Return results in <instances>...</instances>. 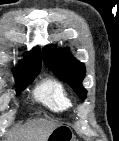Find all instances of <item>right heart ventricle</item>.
<instances>
[{"mask_svg": "<svg viewBox=\"0 0 119 141\" xmlns=\"http://www.w3.org/2000/svg\"><path fill=\"white\" fill-rule=\"evenodd\" d=\"M35 99L55 113H64L72 106V101L62 82L47 78L34 90Z\"/></svg>", "mask_w": 119, "mask_h": 141, "instance_id": "obj_1", "label": "right heart ventricle"}]
</instances>
